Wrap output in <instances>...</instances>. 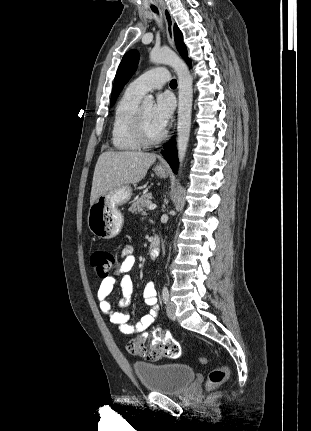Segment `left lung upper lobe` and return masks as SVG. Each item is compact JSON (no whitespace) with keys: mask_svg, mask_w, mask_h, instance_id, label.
I'll return each mask as SVG.
<instances>
[{"mask_svg":"<svg viewBox=\"0 0 311 431\" xmlns=\"http://www.w3.org/2000/svg\"><path fill=\"white\" fill-rule=\"evenodd\" d=\"M174 37H175V44L178 52L186 60V62L189 61V58L187 56V49L183 43L182 33L178 29L176 24L174 25ZM138 61H139V53L137 50H130L123 56L115 76L110 107L114 105L122 88L131 78L133 73L136 71Z\"/></svg>","mask_w":311,"mask_h":431,"instance_id":"1","label":"left lung upper lobe"}]
</instances>
